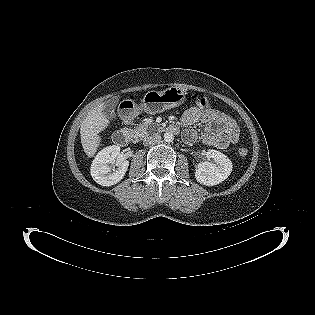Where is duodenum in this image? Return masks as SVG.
Masks as SVG:
<instances>
[{
  "label": "duodenum",
  "mask_w": 315,
  "mask_h": 315,
  "mask_svg": "<svg viewBox=\"0 0 315 315\" xmlns=\"http://www.w3.org/2000/svg\"><path fill=\"white\" fill-rule=\"evenodd\" d=\"M166 130L173 134L179 133V128L176 125L167 126ZM130 139H131V130L128 127L119 129L113 134V141L116 145H119V146H126L129 143Z\"/></svg>",
  "instance_id": "obj_1"
}]
</instances>
